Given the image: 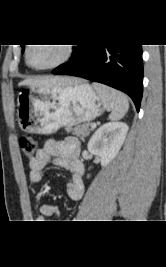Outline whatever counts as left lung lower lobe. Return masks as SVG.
<instances>
[{"label": "left lung lower lobe", "mask_w": 166, "mask_h": 267, "mask_svg": "<svg viewBox=\"0 0 166 267\" xmlns=\"http://www.w3.org/2000/svg\"><path fill=\"white\" fill-rule=\"evenodd\" d=\"M52 73L74 75L121 90L139 111L143 92L141 45H78L72 59Z\"/></svg>", "instance_id": "1"}]
</instances>
